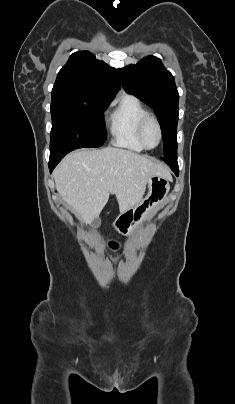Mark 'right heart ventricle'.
Wrapping results in <instances>:
<instances>
[{
    "label": "right heart ventricle",
    "instance_id": "1",
    "mask_svg": "<svg viewBox=\"0 0 235 404\" xmlns=\"http://www.w3.org/2000/svg\"><path fill=\"white\" fill-rule=\"evenodd\" d=\"M147 114L138 98L131 95L122 97L109 117V131L114 144L133 151L144 150L137 136V128Z\"/></svg>",
    "mask_w": 235,
    "mask_h": 404
}]
</instances>
